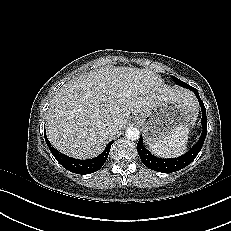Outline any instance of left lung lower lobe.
I'll list each match as a JSON object with an SVG mask.
<instances>
[{
  "label": "left lung lower lobe",
  "mask_w": 231,
  "mask_h": 231,
  "mask_svg": "<svg viewBox=\"0 0 231 231\" xmlns=\"http://www.w3.org/2000/svg\"><path fill=\"white\" fill-rule=\"evenodd\" d=\"M185 88H188L192 90L196 97L198 98L199 104L201 106L202 110V126H203V131L202 134L198 140V142L184 155L181 157L177 158H172V159H162V158H157L154 155H152L144 146H143V139L140 137L138 144H137V151L140 156L141 161L143 164L157 172L161 173H172L175 171H178L180 169H183L184 167L188 166L198 155L200 152L205 138L207 134V118H206V108L198 94L197 89L191 87L190 85L187 84Z\"/></svg>",
  "instance_id": "obj_1"
}]
</instances>
